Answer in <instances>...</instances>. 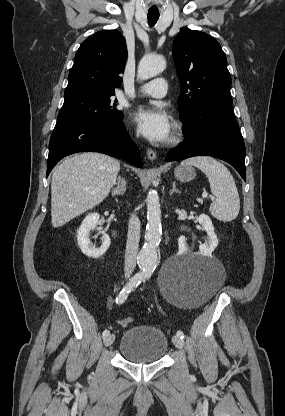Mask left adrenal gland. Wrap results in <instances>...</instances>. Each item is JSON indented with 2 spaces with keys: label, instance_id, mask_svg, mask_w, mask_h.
Returning a JSON list of instances; mask_svg holds the SVG:
<instances>
[{
  "label": "left adrenal gland",
  "instance_id": "1",
  "mask_svg": "<svg viewBox=\"0 0 285 416\" xmlns=\"http://www.w3.org/2000/svg\"><path fill=\"white\" fill-rule=\"evenodd\" d=\"M174 192H176V194H181L180 190H177V188H176V182H172V190H171V192H169L170 196H172V194H174Z\"/></svg>",
  "mask_w": 285,
  "mask_h": 416
}]
</instances>
